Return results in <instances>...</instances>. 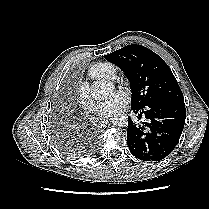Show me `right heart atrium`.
Masks as SVG:
<instances>
[{"instance_id":"d8ad5b80","label":"right heart atrium","mask_w":209,"mask_h":209,"mask_svg":"<svg viewBox=\"0 0 209 209\" xmlns=\"http://www.w3.org/2000/svg\"><path fill=\"white\" fill-rule=\"evenodd\" d=\"M77 102L84 111L88 113H92L95 111V103L92 100L89 91L85 86H82L78 89Z\"/></svg>"}]
</instances>
